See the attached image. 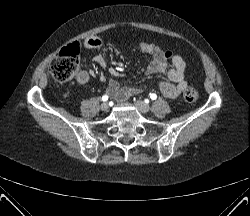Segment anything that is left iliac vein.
Here are the masks:
<instances>
[{
	"mask_svg": "<svg viewBox=\"0 0 250 216\" xmlns=\"http://www.w3.org/2000/svg\"><path fill=\"white\" fill-rule=\"evenodd\" d=\"M135 106L141 113H147L150 110L149 105L140 100L135 101Z\"/></svg>",
	"mask_w": 250,
	"mask_h": 216,
	"instance_id": "left-iliac-vein-1",
	"label": "left iliac vein"
}]
</instances>
